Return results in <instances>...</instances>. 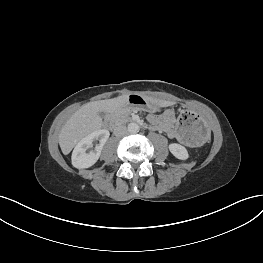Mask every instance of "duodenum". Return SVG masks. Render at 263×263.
Instances as JSON below:
<instances>
[{
  "instance_id": "1",
  "label": "duodenum",
  "mask_w": 263,
  "mask_h": 263,
  "mask_svg": "<svg viewBox=\"0 0 263 263\" xmlns=\"http://www.w3.org/2000/svg\"><path fill=\"white\" fill-rule=\"evenodd\" d=\"M105 125L108 128H113L115 126V121L112 115H107L105 118Z\"/></svg>"
}]
</instances>
